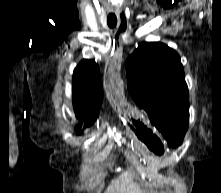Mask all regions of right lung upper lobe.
<instances>
[{"label": "right lung upper lobe", "mask_w": 221, "mask_h": 193, "mask_svg": "<svg viewBox=\"0 0 221 193\" xmlns=\"http://www.w3.org/2000/svg\"><path fill=\"white\" fill-rule=\"evenodd\" d=\"M99 67L94 60H82L73 74V107L76 117L91 125L98 117L103 100ZM79 132V127L76 129Z\"/></svg>", "instance_id": "obj_1"}]
</instances>
